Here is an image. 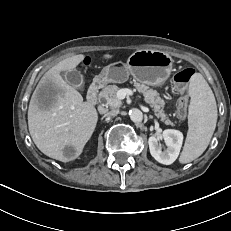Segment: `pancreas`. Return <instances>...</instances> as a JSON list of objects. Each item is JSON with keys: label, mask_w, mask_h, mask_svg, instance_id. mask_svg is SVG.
<instances>
[{"label": "pancreas", "mask_w": 231, "mask_h": 231, "mask_svg": "<svg viewBox=\"0 0 231 231\" xmlns=\"http://www.w3.org/2000/svg\"><path fill=\"white\" fill-rule=\"evenodd\" d=\"M133 85L137 91L144 96L145 102L152 108L155 116L166 125L174 126V123L164 112L165 102L161 99L159 93L142 83L133 82ZM118 90H120V88L117 85H108L102 89L99 94V100L105 103L106 108H119L122 105L121 100L116 97Z\"/></svg>", "instance_id": "cf45deb5"}]
</instances>
